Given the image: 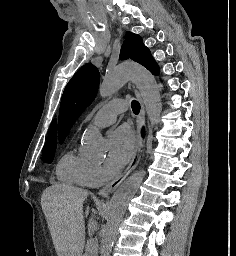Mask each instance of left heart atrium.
Here are the masks:
<instances>
[{"label":"left heart atrium","instance_id":"obj_1","mask_svg":"<svg viewBox=\"0 0 236 256\" xmlns=\"http://www.w3.org/2000/svg\"><path fill=\"white\" fill-rule=\"evenodd\" d=\"M108 142L107 164L111 169L118 170L130 160L134 153L133 131L127 126L119 127L109 135Z\"/></svg>","mask_w":236,"mask_h":256}]
</instances>
